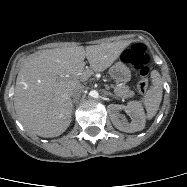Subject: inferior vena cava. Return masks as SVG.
<instances>
[{"label":"inferior vena cava","instance_id":"602c4592","mask_svg":"<svg viewBox=\"0 0 187 187\" xmlns=\"http://www.w3.org/2000/svg\"><path fill=\"white\" fill-rule=\"evenodd\" d=\"M84 86L82 84H77L71 91L72 97H78L82 94Z\"/></svg>","mask_w":187,"mask_h":187}]
</instances>
